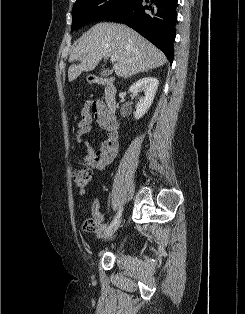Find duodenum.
Listing matches in <instances>:
<instances>
[{"instance_id": "410a0bca", "label": "duodenum", "mask_w": 245, "mask_h": 314, "mask_svg": "<svg viewBox=\"0 0 245 314\" xmlns=\"http://www.w3.org/2000/svg\"><path fill=\"white\" fill-rule=\"evenodd\" d=\"M95 81L104 86V111L109 117L114 118L117 109V87L114 79L111 77L95 78Z\"/></svg>"}]
</instances>
